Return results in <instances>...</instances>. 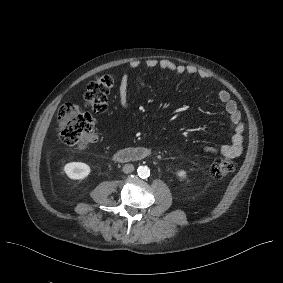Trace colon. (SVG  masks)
I'll use <instances>...</instances> for the list:
<instances>
[{"label": "colon", "instance_id": "5ec220e1", "mask_svg": "<svg viewBox=\"0 0 283 283\" xmlns=\"http://www.w3.org/2000/svg\"><path fill=\"white\" fill-rule=\"evenodd\" d=\"M114 81V77L107 74L90 82L84 94L86 107L96 113H103L107 109ZM58 129L65 144L79 149L86 148L96 140L92 116L73 103H66L61 107ZM206 170L214 178H224L234 171V164L226 159H216L207 165Z\"/></svg>", "mask_w": 283, "mask_h": 283}]
</instances>
